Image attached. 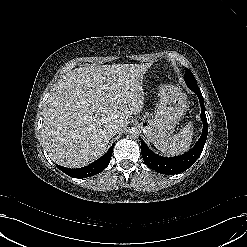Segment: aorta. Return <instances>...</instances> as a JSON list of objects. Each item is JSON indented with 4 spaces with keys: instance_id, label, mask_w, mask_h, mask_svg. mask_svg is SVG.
<instances>
[{
    "instance_id": "762f6f07",
    "label": "aorta",
    "mask_w": 247,
    "mask_h": 247,
    "mask_svg": "<svg viewBox=\"0 0 247 247\" xmlns=\"http://www.w3.org/2000/svg\"><path fill=\"white\" fill-rule=\"evenodd\" d=\"M126 135L131 139H137L139 137V130L136 127H130L127 129Z\"/></svg>"
}]
</instances>
